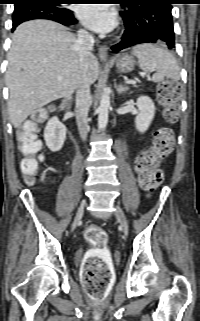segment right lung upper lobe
<instances>
[{
    "label": "right lung upper lobe",
    "mask_w": 200,
    "mask_h": 321,
    "mask_svg": "<svg viewBox=\"0 0 200 321\" xmlns=\"http://www.w3.org/2000/svg\"><path fill=\"white\" fill-rule=\"evenodd\" d=\"M33 1L35 0H15V6L28 4Z\"/></svg>",
    "instance_id": "cb5924a9"
}]
</instances>
